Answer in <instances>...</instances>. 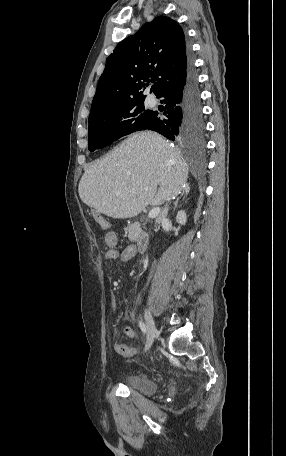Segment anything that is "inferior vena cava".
Segmentation results:
<instances>
[{
	"instance_id": "602c4592",
	"label": "inferior vena cava",
	"mask_w": 286,
	"mask_h": 456,
	"mask_svg": "<svg viewBox=\"0 0 286 456\" xmlns=\"http://www.w3.org/2000/svg\"><path fill=\"white\" fill-rule=\"evenodd\" d=\"M167 213H168V206H167V204H166V206L161 210V212H160L159 215L157 216V218H156V223L159 224V223L165 221V220H166Z\"/></svg>"
}]
</instances>
